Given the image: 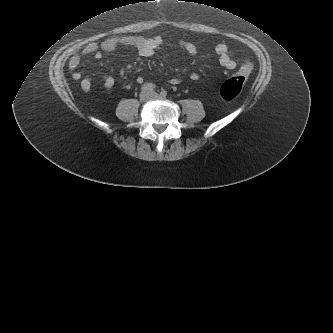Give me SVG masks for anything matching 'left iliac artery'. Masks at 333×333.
<instances>
[{"instance_id":"44dca946","label":"left iliac artery","mask_w":333,"mask_h":333,"mask_svg":"<svg viewBox=\"0 0 333 333\" xmlns=\"http://www.w3.org/2000/svg\"><path fill=\"white\" fill-rule=\"evenodd\" d=\"M161 95H162L163 97H166V96H167V91H166V90H162Z\"/></svg>"}]
</instances>
